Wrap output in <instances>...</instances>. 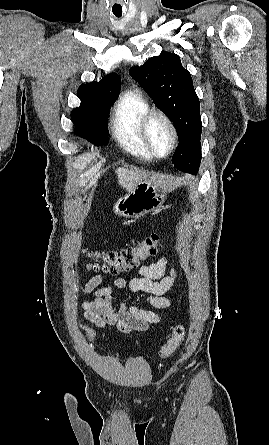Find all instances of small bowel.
Masks as SVG:
<instances>
[{
	"label": "small bowel",
	"instance_id": "obj_1",
	"mask_svg": "<svg viewBox=\"0 0 269 445\" xmlns=\"http://www.w3.org/2000/svg\"><path fill=\"white\" fill-rule=\"evenodd\" d=\"M176 269L167 257H161L156 262L141 265L138 276L125 280L117 278L112 286L99 287L104 276L101 274L91 277L81 288L82 294L93 293L91 301H83L81 307L83 317L97 327H116L124 333L146 331L150 325L160 322L161 316L153 310L137 307L134 297L125 301L121 295L116 306L113 305L112 294L116 290L122 294L126 289L134 295H145L146 302L155 309H167L173 301L166 296L176 280ZM87 340H93L95 330L88 325H79Z\"/></svg>",
	"mask_w": 269,
	"mask_h": 445
}]
</instances>
